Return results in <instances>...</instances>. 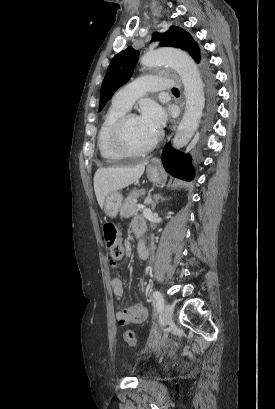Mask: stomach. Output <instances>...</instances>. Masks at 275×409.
<instances>
[{
	"label": "stomach",
	"mask_w": 275,
	"mask_h": 409,
	"mask_svg": "<svg viewBox=\"0 0 275 409\" xmlns=\"http://www.w3.org/2000/svg\"><path fill=\"white\" fill-rule=\"evenodd\" d=\"M146 172L149 180H152V182H160L161 176L158 166H151V164H148ZM122 198L123 196L120 194V192H118V190H113V192H109V194H107L104 200V209L106 215L111 217V219H115V217H117L119 209L122 205Z\"/></svg>",
	"instance_id": "0dacf381"
}]
</instances>
